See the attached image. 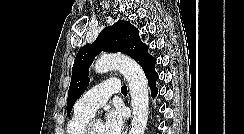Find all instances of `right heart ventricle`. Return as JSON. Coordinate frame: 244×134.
<instances>
[{"instance_id": "1", "label": "right heart ventricle", "mask_w": 244, "mask_h": 134, "mask_svg": "<svg viewBox=\"0 0 244 134\" xmlns=\"http://www.w3.org/2000/svg\"><path fill=\"white\" fill-rule=\"evenodd\" d=\"M91 116L74 111L67 123L66 134H83L85 126L90 121Z\"/></svg>"}]
</instances>
